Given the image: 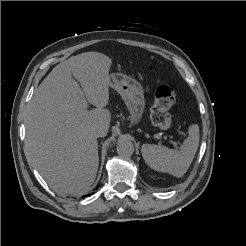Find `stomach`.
<instances>
[{
    "instance_id": "obj_1",
    "label": "stomach",
    "mask_w": 246,
    "mask_h": 246,
    "mask_svg": "<svg viewBox=\"0 0 246 246\" xmlns=\"http://www.w3.org/2000/svg\"><path fill=\"white\" fill-rule=\"evenodd\" d=\"M110 86L122 97L130 112V119L138 123L144 113L145 99L141 85L133 78L114 73L110 75Z\"/></svg>"
}]
</instances>
